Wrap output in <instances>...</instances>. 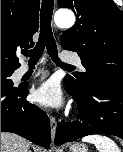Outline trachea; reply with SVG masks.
I'll return each instance as SVG.
<instances>
[{
	"label": "trachea",
	"mask_w": 123,
	"mask_h": 152,
	"mask_svg": "<svg viewBox=\"0 0 123 152\" xmlns=\"http://www.w3.org/2000/svg\"><path fill=\"white\" fill-rule=\"evenodd\" d=\"M53 5L54 0H42V7L40 13V34L38 42L32 50L24 51L23 55H27L28 57H30V64H36L41 58V55L43 54L44 49L46 47L49 56L56 63V65L66 69H72L74 68L72 65L62 63L57 55V46L55 43V39L52 35L51 28Z\"/></svg>",
	"instance_id": "trachea-1"
}]
</instances>
